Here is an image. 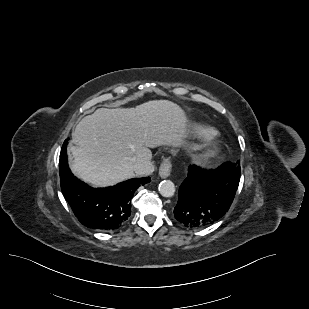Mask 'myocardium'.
I'll return each mask as SVG.
<instances>
[{
	"label": "myocardium",
	"instance_id": "1",
	"mask_svg": "<svg viewBox=\"0 0 309 309\" xmlns=\"http://www.w3.org/2000/svg\"><path fill=\"white\" fill-rule=\"evenodd\" d=\"M216 151H217V147L214 146V145H210V146H207V147L203 150L201 156H202L203 158H208V157L213 156V155L216 153Z\"/></svg>",
	"mask_w": 309,
	"mask_h": 309
}]
</instances>
